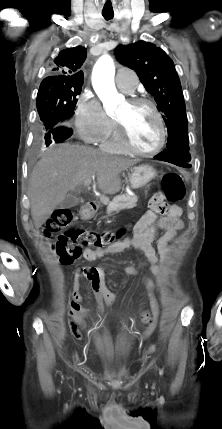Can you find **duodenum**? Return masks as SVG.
<instances>
[{"label":"duodenum","mask_w":222,"mask_h":429,"mask_svg":"<svg viewBox=\"0 0 222 429\" xmlns=\"http://www.w3.org/2000/svg\"><path fill=\"white\" fill-rule=\"evenodd\" d=\"M98 209V205L95 201H88L83 208L85 216H89L92 212Z\"/></svg>","instance_id":"duodenum-1"}]
</instances>
